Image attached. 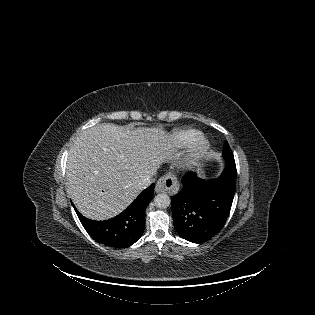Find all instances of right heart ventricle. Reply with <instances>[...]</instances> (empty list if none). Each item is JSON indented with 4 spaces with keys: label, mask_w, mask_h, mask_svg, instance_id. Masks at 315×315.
<instances>
[{
    "label": "right heart ventricle",
    "mask_w": 315,
    "mask_h": 315,
    "mask_svg": "<svg viewBox=\"0 0 315 315\" xmlns=\"http://www.w3.org/2000/svg\"><path fill=\"white\" fill-rule=\"evenodd\" d=\"M195 129H178L169 135V142L177 148H182L190 144L198 135Z\"/></svg>",
    "instance_id": "right-heart-ventricle-1"
}]
</instances>
